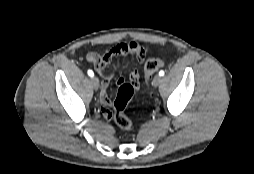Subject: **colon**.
Here are the masks:
<instances>
[{"label": "colon", "instance_id": "1", "mask_svg": "<svg viewBox=\"0 0 254 174\" xmlns=\"http://www.w3.org/2000/svg\"><path fill=\"white\" fill-rule=\"evenodd\" d=\"M129 47L136 44H126ZM164 66V62L160 59H148L144 65V72L146 78L149 80L150 77L161 67ZM137 87L131 83H124L120 85L116 99L114 101V115L113 121L115 124L125 130L131 131L133 129L132 120L126 115L125 109L128 102L132 99L136 92Z\"/></svg>", "mask_w": 254, "mask_h": 174}]
</instances>
